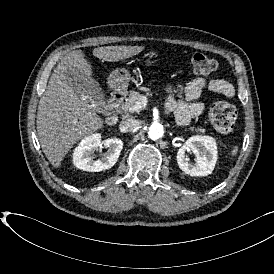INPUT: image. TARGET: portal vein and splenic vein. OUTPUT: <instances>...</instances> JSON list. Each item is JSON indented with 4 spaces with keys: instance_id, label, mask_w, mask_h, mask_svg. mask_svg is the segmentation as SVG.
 I'll use <instances>...</instances> for the list:
<instances>
[{
    "instance_id": "18ae733b",
    "label": "portal vein and splenic vein",
    "mask_w": 274,
    "mask_h": 274,
    "mask_svg": "<svg viewBox=\"0 0 274 274\" xmlns=\"http://www.w3.org/2000/svg\"><path fill=\"white\" fill-rule=\"evenodd\" d=\"M147 101V98L145 96H141L139 101H136L135 105L131 108L133 111H138L142 107H145V102Z\"/></svg>"
}]
</instances>
